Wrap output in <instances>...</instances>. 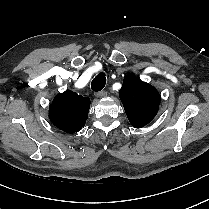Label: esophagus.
Returning <instances> with one entry per match:
<instances>
[{"mask_svg":"<svg viewBox=\"0 0 209 209\" xmlns=\"http://www.w3.org/2000/svg\"><path fill=\"white\" fill-rule=\"evenodd\" d=\"M95 96L98 98H102V97L107 96V92L106 91H99V92L95 93Z\"/></svg>","mask_w":209,"mask_h":209,"instance_id":"34e87169","label":"esophagus"}]
</instances>
